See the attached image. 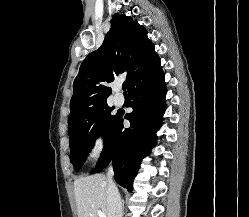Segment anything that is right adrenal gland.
Wrapping results in <instances>:
<instances>
[{"mask_svg": "<svg viewBox=\"0 0 249 217\" xmlns=\"http://www.w3.org/2000/svg\"><path fill=\"white\" fill-rule=\"evenodd\" d=\"M122 214H124V201L122 200Z\"/></svg>", "mask_w": 249, "mask_h": 217, "instance_id": "1", "label": "right adrenal gland"}]
</instances>
